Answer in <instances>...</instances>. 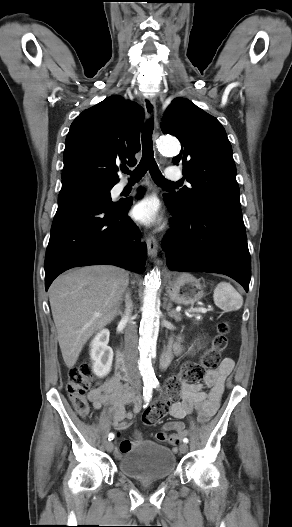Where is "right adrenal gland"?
Returning a JSON list of instances; mask_svg holds the SVG:
<instances>
[{
	"instance_id": "2a0ac1e0",
	"label": "right adrenal gland",
	"mask_w": 292,
	"mask_h": 527,
	"mask_svg": "<svg viewBox=\"0 0 292 527\" xmlns=\"http://www.w3.org/2000/svg\"><path fill=\"white\" fill-rule=\"evenodd\" d=\"M126 300H127V297H126ZM118 315H122V311L120 309L118 310Z\"/></svg>"
}]
</instances>
